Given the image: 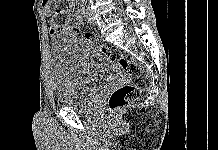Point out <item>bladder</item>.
Here are the masks:
<instances>
[{"instance_id": "31cf9c89", "label": "bladder", "mask_w": 218, "mask_h": 150, "mask_svg": "<svg viewBox=\"0 0 218 150\" xmlns=\"http://www.w3.org/2000/svg\"><path fill=\"white\" fill-rule=\"evenodd\" d=\"M52 55L57 68L55 99L62 107H86L96 85L113 70L95 49L76 38L56 37Z\"/></svg>"}]
</instances>
